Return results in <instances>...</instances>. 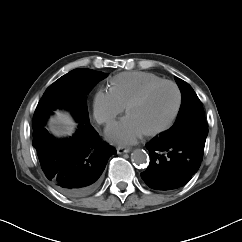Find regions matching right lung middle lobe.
Returning a JSON list of instances; mask_svg holds the SVG:
<instances>
[{"mask_svg": "<svg viewBox=\"0 0 242 242\" xmlns=\"http://www.w3.org/2000/svg\"><path fill=\"white\" fill-rule=\"evenodd\" d=\"M106 74L79 68L65 74L50 85L34 113L33 127L45 124L53 110L67 109L78 122H88L86 95Z\"/></svg>", "mask_w": 242, "mask_h": 242, "instance_id": "1", "label": "right lung middle lobe"}]
</instances>
